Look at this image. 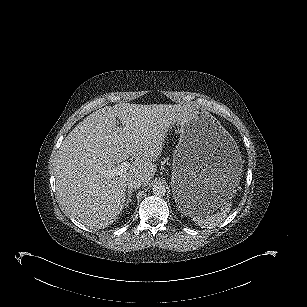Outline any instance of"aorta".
<instances>
[{"mask_svg":"<svg viewBox=\"0 0 307 307\" xmlns=\"http://www.w3.org/2000/svg\"><path fill=\"white\" fill-rule=\"evenodd\" d=\"M152 192L155 196H164L166 194V187L164 184L157 182L153 185Z\"/></svg>","mask_w":307,"mask_h":307,"instance_id":"obj_1","label":"aorta"}]
</instances>
